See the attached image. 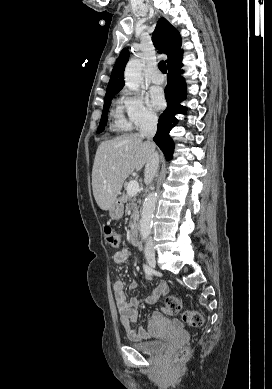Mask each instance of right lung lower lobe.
Instances as JSON below:
<instances>
[{
  "mask_svg": "<svg viewBox=\"0 0 272 389\" xmlns=\"http://www.w3.org/2000/svg\"><path fill=\"white\" fill-rule=\"evenodd\" d=\"M181 67V59L168 67L167 86L165 88L167 109L159 118L157 133L153 138L167 160L172 158L174 149V143L169 136V132L178 122L175 114H184L186 111V108L180 105V102L186 98V83L181 76L183 73Z\"/></svg>",
  "mask_w": 272,
  "mask_h": 389,
  "instance_id": "98d812e1",
  "label": "right lung lower lobe"
}]
</instances>
